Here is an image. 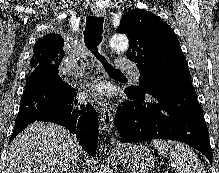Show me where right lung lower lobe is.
<instances>
[{
    "label": "right lung lower lobe",
    "instance_id": "1",
    "mask_svg": "<svg viewBox=\"0 0 219 173\" xmlns=\"http://www.w3.org/2000/svg\"><path fill=\"white\" fill-rule=\"evenodd\" d=\"M76 94L71 85H65L52 74L27 77L10 142L28 124L36 120L48 121L60 124L75 134L82 148L94 157L99 127L97 113L89 103L80 105Z\"/></svg>",
    "mask_w": 219,
    "mask_h": 173
}]
</instances>
